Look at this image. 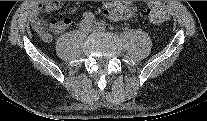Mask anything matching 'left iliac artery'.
Here are the masks:
<instances>
[{
	"instance_id": "left-iliac-artery-1",
	"label": "left iliac artery",
	"mask_w": 207,
	"mask_h": 121,
	"mask_svg": "<svg viewBox=\"0 0 207 121\" xmlns=\"http://www.w3.org/2000/svg\"><path fill=\"white\" fill-rule=\"evenodd\" d=\"M97 25L102 28L103 30L106 28V23L104 21H100L97 23Z\"/></svg>"
}]
</instances>
